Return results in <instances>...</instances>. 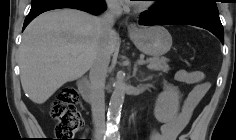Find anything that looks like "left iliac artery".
Returning <instances> with one entry per match:
<instances>
[{
    "label": "left iliac artery",
    "instance_id": "left-iliac-artery-1",
    "mask_svg": "<svg viewBox=\"0 0 236 140\" xmlns=\"http://www.w3.org/2000/svg\"><path fill=\"white\" fill-rule=\"evenodd\" d=\"M112 139H113V140H120L119 137H113Z\"/></svg>",
    "mask_w": 236,
    "mask_h": 140
}]
</instances>
